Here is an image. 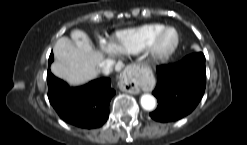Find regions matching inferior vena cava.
I'll list each match as a JSON object with an SVG mask.
<instances>
[{
    "label": "inferior vena cava",
    "mask_w": 247,
    "mask_h": 145,
    "mask_svg": "<svg viewBox=\"0 0 247 145\" xmlns=\"http://www.w3.org/2000/svg\"><path fill=\"white\" fill-rule=\"evenodd\" d=\"M114 63L111 60H105L100 63V71L104 75H109L113 70Z\"/></svg>",
    "instance_id": "obj_1"
}]
</instances>
